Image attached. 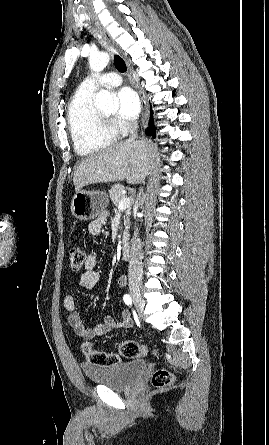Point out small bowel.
<instances>
[{
    "label": "small bowel",
    "mask_w": 269,
    "mask_h": 445,
    "mask_svg": "<svg viewBox=\"0 0 269 445\" xmlns=\"http://www.w3.org/2000/svg\"><path fill=\"white\" fill-rule=\"evenodd\" d=\"M108 215L106 213L100 215L96 220L89 224V232L92 235L101 233L103 225L106 223ZM98 255L91 253L86 257L83 272L80 277L72 283L70 290L64 295L63 305L67 312V322L73 328L74 332L85 340L93 339L96 336L103 335L114 329L129 328L132 325V319L128 310L123 308L120 313V319L115 320L112 317H106L104 321L92 328L87 327L77 310L74 289H93L100 280V272L97 270ZM118 288L127 285V277L122 275L117 279Z\"/></svg>",
    "instance_id": "small-bowel-1"
}]
</instances>
